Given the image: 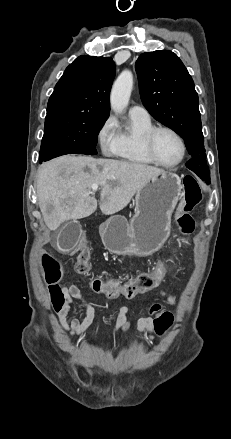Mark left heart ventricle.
<instances>
[{
    "label": "left heart ventricle",
    "mask_w": 231,
    "mask_h": 439,
    "mask_svg": "<svg viewBox=\"0 0 231 439\" xmlns=\"http://www.w3.org/2000/svg\"><path fill=\"white\" fill-rule=\"evenodd\" d=\"M154 148L157 157L164 163L172 164L181 156L179 141L171 133L159 132L154 140Z\"/></svg>",
    "instance_id": "left-heart-ventricle-1"
}]
</instances>
